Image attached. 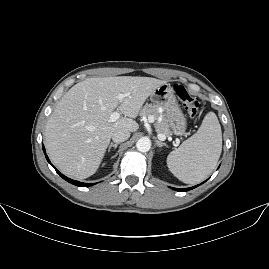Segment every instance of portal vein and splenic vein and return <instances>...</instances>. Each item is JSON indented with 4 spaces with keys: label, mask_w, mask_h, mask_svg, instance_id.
Instances as JSON below:
<instances>
[{
    "label": "portal vein and splenic vein",
    "mask_w": 269,
    "mask_h": 269,
    "mask_svg": "<svg viewBox=\"0 0 269 269\" xmlns=\"http://www.w3.org/2000/svg\"><path fill=\"white\" fill-rule=\"evenodd\" d=\"M129 94L128 93H121L119 95H117V99L122 101L126 96H128ZM121 117V113L119 111H115L111 114V120L112 121H115L117 119H119ZM148 123L150 125H153L155 123V118L154 117H149L148 118ZM157 138L160 140V141H164L166 139V136L162 133H157Z\"/></svg>",
    "instance_id": "18ae733b"
}]
</instances>
